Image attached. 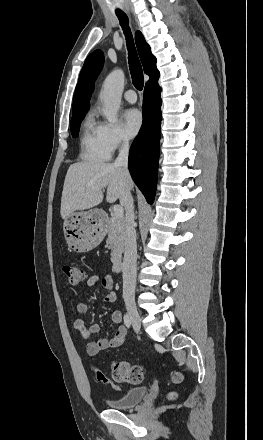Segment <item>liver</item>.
Masks as SVG:
<instances>
[{
    "mask_svg": "<svg viewBox=\"0 0 263 440\" xmlns=\"http://www.w3.org/2000/svg\"><path fill=\"white\" fill-rule=\"evenodd\" d=\"M107 187L106 200L121 201L126 187L132 188V179H125L120 168L112 163L84 161L68 168L61 197V217L67 218L78 210H86L103 201V189Z\"/></svg>",
    "mask_w": 263,
    "mask_h": 440,
    "instance_id": "liver-1",
    "label": "liver"
}]
</instances>
